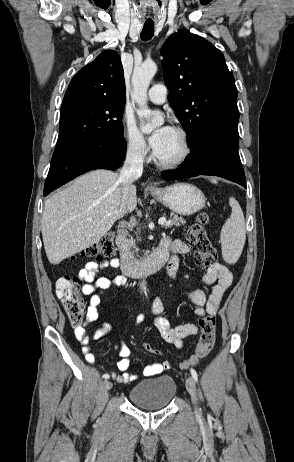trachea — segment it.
Here are the masks:
<instances>
[{
	"label": "trachea",
	"mask_w": 294,
	"mask_h": 462,
	"mask_svg": "<svg viewBox=\"0 0 294 462\" xmlns=\"http://www.w3.org/2000/svg\"><path fill=\"white\" fill-rule=\"evenodd\" d=\"M154 35V23L153 22H145L143 30L141 32V39L143 41L150 40Z\"/></svg>",
	"instance_id": "obj_1"
}]
</instances>
